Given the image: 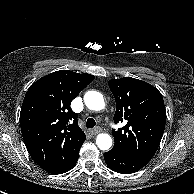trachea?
I'll use <instances>...</instances> for the list:
<instances>
[{"instance_id":"obj_1","label":"trachea","mask_w":194,"mask_h":194,"mask_svg":"<svg viewBox=\"0 0 194 194\" xmlns=\"http://www.w3.org/2000/svg\"><path fill=\"white\" fill-rule=\"evenodd\" d=\"M96 125V122L93 118H88L86 122L87 128H93Z\"/></svg>"}]
</instances>
